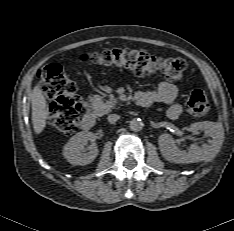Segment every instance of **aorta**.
<instances>
[{
	"mask_svg": "<svg viewBox=\"0 0 234 231\" xmlns=\"http://www.w3.org/2000/svg\"><path fill=\"white\" fill-rule=\"evenodd\" d=\"M143 122L140 118H134L130 121L129 127L132 131L138 132L143 128Z\"/></svg>",
	"mask_w": 234,
	"mask_h": 231,
	"instance_id": "762f6f07",
	"label": "aorta"
}]
</instances>
